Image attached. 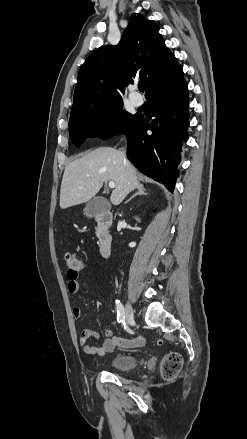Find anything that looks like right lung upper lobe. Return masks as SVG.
<instances>
[{
    "mask_svg": "<svg viewBox=\"0 0 247 439\" xmlns=\"http://www.w3.org/2000/svg\"><path fill=\"white\" fill-rule=\"evenodd\" d=\"M182 67L165 45L159 26L134 17L117 46L94 51L81 66L71 117L122 101L126 86L146 85L147 100L184 82Z\"/></svg>",
    "mask_w": 247,
    "mask_h": 439,
    "instance_id": "right-lung-upper-lobe-1",
    "label": "right lung upper lobe"
}]
</instances>
